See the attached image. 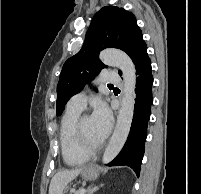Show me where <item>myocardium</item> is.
I'll use <instances>...</instances> for the list:
<instances>
[{
  "label": "myocardium",
  "mask_w": 201,
  "mask_h": 194,
  "mask_svg": "<svg viewBox=\"0 0 201 194\" xmlns=\"http://www.w3.org/2000/svg\"><path fill=\"white\" fill-rule=\"evenodd\" d=\"M87 117L89 116L88 115L79 116L75 124V135H76V141H77L79 149L85 154L90 156L95 154L98 150L101 149V147L103 146V142H100L96 145H91L86 141L84 133H83V129H82V123H83V120Z\"/></svg>",
  "instance_id": "obj_1"
}]
</instances>
